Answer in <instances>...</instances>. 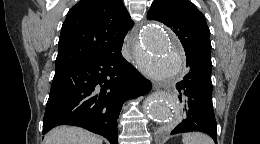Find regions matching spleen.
I'll use <instances>...</instances> for the list:
<instances>
[{"mask_svg":"<svg viewBox=\"0 0 260 144\" xmlns=\"http://www.w3.org/2000/svg\"><path fill=\"white\" fill-rule=\"evenodd\" d=\"M183 144H214L213 140L203 133H185L182 136Z\"/></svg>","mask_w":260,"mask_h":144,"instance_id":"3e777b00","label":"spleen"}]
</instances>
